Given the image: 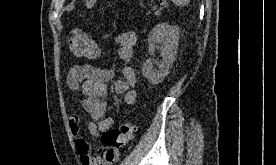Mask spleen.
Listing matches in <instances>:
<instances>
[{
  "instance_id": "obj_1",
  "label": "spleen",
  "mask_w": 276,
  "mask_h": 165,
  "mask_svg": "<svg viewBox=\"0 0 276 165\" xmlns=\"http://www.w3.org/2000/svg\"><path fill=\"white\" fill-rule=\"evenodd\" d=\"M177 6H185L187 5L190 0H172Z\"/></svg>"
}]
</instances>
